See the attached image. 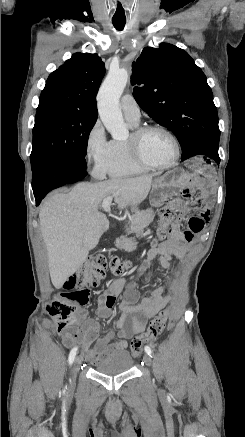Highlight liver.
Here are the masks:
<instances>
[{
    "instance_id": "obj_1",
    "label": "liver",
    "mask_w": 245,
    "mask_h": 437,
    "mask_svg": "<svg viewBox=\"0 0 245 437\" xmlns=\"http://www.w3.org/2000/svg\"><path fill=\"white\" fill-rule=\"evenodd\" d=\"M154 174L77 184L69 193H54L40 208V230L44 239L52 284L60 289L75 273L108 230L109 221L99 211L112 196L118 209L136 207L151 189Z\"/></svg>"
}]
</instances>
